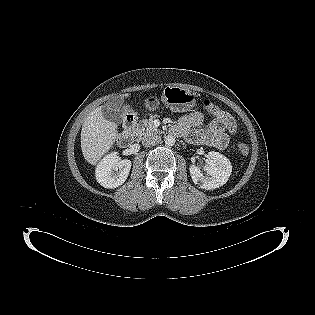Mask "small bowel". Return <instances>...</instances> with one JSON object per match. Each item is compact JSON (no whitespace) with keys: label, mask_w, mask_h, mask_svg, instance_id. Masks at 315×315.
I'll return each mask as SVG.
<instances>
[{"label":"small bowel","mask_w":315,"mask_h":315,"mask_svg":"<svg viewBox=\"0 0 315 315\" xmlns=\"http://www.w3.org/2000/svg\"><path fill=\"white\" fill-rule=\"evenodd\" d=\"M209 115L211 120L206 129L200 128L204 116L199 111L183 115L172 129L176 135L184 136L192 144L207 145L220 150L225 149L229 143V134L235 133L236 129L229 130L224 118L215 117L212 113Z\"/></svg>","instance_id":"1"}]
</instances>
